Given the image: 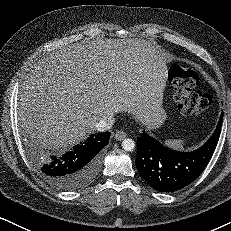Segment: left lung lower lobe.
Here are the masks:
<instances>
[{
    "mask_svg": "<svg viewBox=\"0 0 231 231\" xmlns=\"http://www.w3.org/2000/svg\"><path fill=\"white\" fill-rule=\"evenodd\" d=\"M222 120L223 114L209 140L192 152L172 150L143 131L137 138L135 159L141 177L161 192H174L192 183L203 172L213 155Z\"/></svg>",
    "mask_w": 231,
    "mask_h": 231,
    "instance_id": "0a47b994",
    "label": "left lung lower lobe"
}]
</instances>
